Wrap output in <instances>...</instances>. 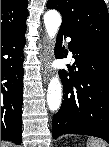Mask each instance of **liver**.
<instances>
[{"mask_svg": "<svg viewBox=\"0 0 109 147\" xmlns=\"http://www.w3.org/2000/svg\"><path fill=\"white\" fill-rule=\"evenodd\" d=\"M9 146H11L10 143H8V142H2V147H9Z\"/></svg>", "mask_w": 109, "mask_h": 147, "instance_id": "6515ba94", "label": "liver"}]
</instances>
